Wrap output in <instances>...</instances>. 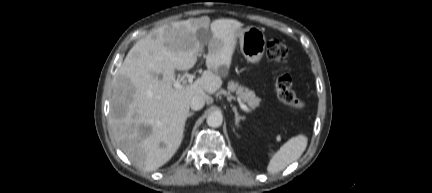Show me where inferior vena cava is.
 <instances>
[{"instance_id":"1","label":"inferior vena cava","mask_w":432,"mask_h":193,"mask_svg":"<svg viewBox=\"0 0 432 193\" xmlns=\"http://www.w3.org/2000/svg\"><path fill=\"white\" fill-rule=\"evenodd\" d=\"M205 105V98L202 95H194L190 102V107L193 110H200Z\"/></svg>"}]
</instances>
